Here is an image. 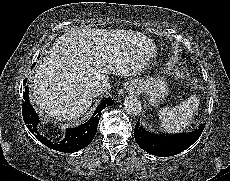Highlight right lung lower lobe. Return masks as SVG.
I'll return each instance as SVG.
<instances>
[{
	"label": "right lung lower lobe",
	"instance_id": "right-lung-lower-lobe-1",
	"mask_svg": "<svg viewBox=\"0 0 230 181\" xmlns=\"http://www.w3.org/2000/svg\"><path fill=\"white\" fill-rule=\"evenodd\" d=\"M25 83L26 80L24 81V85ZM23 97L25 100L22 106L23 119L30 132L47 147L65 153L76 152L89 145L97 132L101 111L106 107V105L111 106L113 104L111 99L103 100L97 107L93 117H91L85 124L76 128L67 129L66 137L58 143H53L43 137L38 131L37 125L39 123V118L29 104L28 86L25 87Z\"/></svg>",
	"mask_w": 230,
	"mask_h": 181
}]
</instances>
